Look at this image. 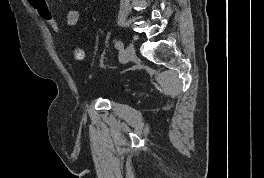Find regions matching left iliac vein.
I'll return each instance as SVG.
<instances>
[{
	"instance_id": "left-iliac-vein-1",
	"label": "left iliac vein",
	"mask_w": 264,
	"mask_h": 178,
	"mask_svg": "<svg viewBox=\"0 0 264 178\" xmlns=\"http://www.w3.org/2000/svg\"><path fill=\"white\" fill-rule=\"evenodd\" d=\"M135 56V49H134V45L132 42H130L128 44V46L126 47V49L124 50V54H123V57H122V61L124 64L130 62L133 60Z\"/></svg>"
}]
</instances>
